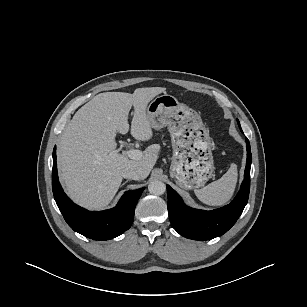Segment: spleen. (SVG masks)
Segmentation results:
<instances>
[{
	"label": "spleen",
	"mask_w": 307,
	"mask_h": 307,
	"mask_svg": "<svg viewBox=\"0 0 307 307\" xmlns=\"http://www.w3.org/2000/svg\"><path fill=\"white\" fill-rule=\"evenodd\" d=\"M237 165L232 163L228 171L217 181L202 189L195 190V195L209 206H223L231 199L237 184Z\"/></svg>",
	"instance_id": "obj_1"
}]
</instances>
